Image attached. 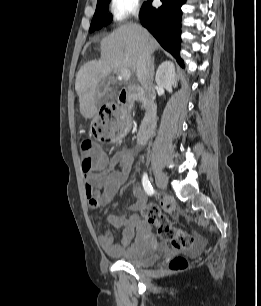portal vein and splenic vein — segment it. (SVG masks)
Wrapping results in <instances>:
<instances>
[{
	"instance_id": "18ae733b",
	"label": "portal vein and splenic vein",
	"mask_w": 261,
	"mask_h": 306,
	"mask_svg": "<svg viewBox=\"0 0 261 306\" xmlns=\"http://www.w3.org/2000/svg\"><path fill=\"white\" fill-rule=\"evenodd\" d=\"M118 77L123 79L124 81H128L131 77L130 69H123Z\"/></svg>"
}]
</instances>
